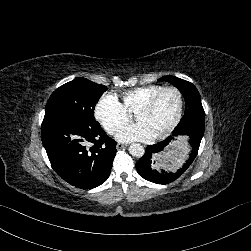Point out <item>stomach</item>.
Segmentation results:
<instances>
[{
    "label": "stomach",
    "instance_id": "obj_1",
    "mask_svg": "<svg viewBox=\"0 0 251 251\" xmlns=\"http://www.w3.org/2000/svg\"><path fill=\"white\" fill-rule=\"evenodd\" d=\"M192 149V142L188 138L175 139L154 158V167L169 175L178 173L183 167V160L191 154Z\"/></svg>",
    "mask_w": 251,
    "mask_h": 251
}]
</instances>
